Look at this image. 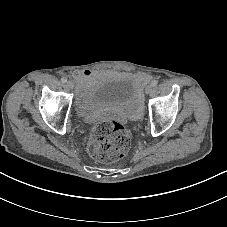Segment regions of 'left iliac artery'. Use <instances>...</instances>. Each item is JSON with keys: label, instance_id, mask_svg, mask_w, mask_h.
I'll use <instances>...</instances> for the list:
<instances>
[{"label": "left iliac artery", "instance_id": "left-iliac-artery-1", "mask_svg": "<svg viewBox=\"0 0 227 227\" xmlns=\"http://www.w3.org/2000/svg\"><path fill=\"white\" fill-rule=\"evenodd\" d=\"M157 84H158V82H157V81H153V82L151 83V86L156 87V86H157Z\"/></svg>", "mask_w": 227, "mask_h": 227}]
</instances>
